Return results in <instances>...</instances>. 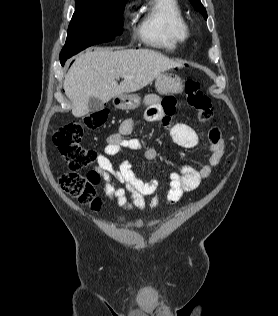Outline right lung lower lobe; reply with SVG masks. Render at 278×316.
Returning <instances> with one entry per match:
<instances>
[{
    "label": "right lung lower lobe",
    "mask_w": 278,
    "mask_h": 316,
    "mask_svg": "<svg viewBox=\"0 0 278 316\" xmlns=\"http://www.w3.org/2000/svg\"><path fill=\"white\" fill-rule=\"evenodd\" d=\"M60 61H61V64L63 66L66 60H60Z\"/></svg>",
    "instance_id": "obj_1"
}]
</instances>
